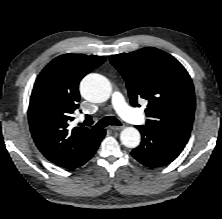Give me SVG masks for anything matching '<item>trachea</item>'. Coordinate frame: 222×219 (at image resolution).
Instances as JSON below:
<instances>
[{
  "label": "trachea",
  "mask_w": 222,
  "mask_h": 219,
  "mask_svg": "<svg viewBox=\"0 0 222 219\" xmlns=\"http://www.w3.org/2000/svg\"><path fill=\"white\" fill-rule=\"evenodd\" d=\"M108 125H116V126H121V122L114 116H107L102 118L100 121L96 123V125L93 127L94 129H99L106 127Z\"/></svg>",
  "instance_id": "3493384b"
}]
</instances>
